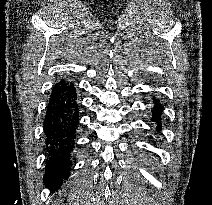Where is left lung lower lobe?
I'll return each instance as SVG.
<instances>
[{
	"instance_id": "obj_1",
	"label": "left lung lower lobe",
	"mask_w": 212,
	"mask_h": 205,
	"mask_svg": "<svg viewBox=\"0 0 212 205\" xmlns=\"http://www.w3.org/2000/svg\"><path fill=\"white\" fill-rule=\"evenodd\" d=\"M155 106L152 110V121L157 123V130L161 129V116H162V105L159 103L158 99L153 101Z\"/></svg>"
}]
</instances>
